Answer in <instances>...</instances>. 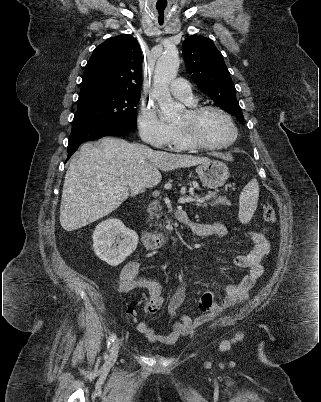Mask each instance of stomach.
<instances>
[{"mask_svg":"<svg viewBox=\"0 0 321 402\" xmlns=\"http://www.w3.org/2000/svg\"><path fill=\"white\" fill-rule=\"evenodd\" d=\"M196 172L204 186L208 188L221 187L229 177L228 167L220 161L209 160L200 164Z\"/></svg>","mask_w":321,"mask_h":402,"instance_id":"stomach-1","label":"stomach"}]
</instances>
